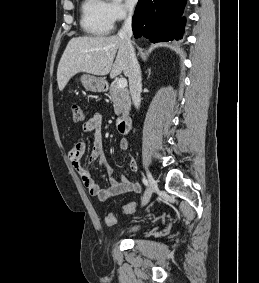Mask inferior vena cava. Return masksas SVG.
<instances>
[{"label":"inferior vena cava","mask_w":259,"mask_h":283,"mask_svg":"<svg viewBox=\"0 0 259 283\" xmlns=\"http://www.w3.org/2000/svg\"><path fill=\"white\" fill-rule=\"evenodd\" d=\"M132 10L129 9V13L125 18L124 24L120 29L118 36L123 38L128 47L129 52V87L130 94L132 97V101L134 106L138 109L141 103V70L138 60L135 55V50L132 45L131 37H132Z\"/></svg>","instance_id":"602c4592"}]
</instances>
